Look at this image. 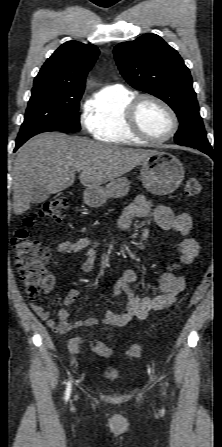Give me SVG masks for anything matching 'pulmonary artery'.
<instances>
[{
    "instance_id": "e3ab8cb5",
    "label": "pulmonary artery",
    "mask_w": 222,
    "mask_h": 447,
    "mask_svg": "<svg viewBox=\"0 0 222 447\" xmlns=\"http://www.w3.org/2000/svg\"><path fill=\"white\" fill-rule=\"evenodd\" d=\"M109 87H115V88H118V87H122L120 84H115V85H111V86H109Z\"/></svg>"
}]
</instances>
